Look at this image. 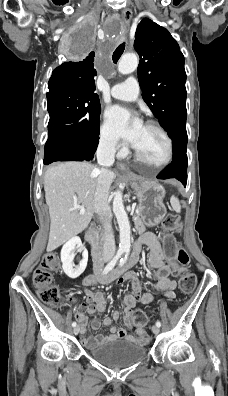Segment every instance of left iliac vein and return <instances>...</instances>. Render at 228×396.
Wrapping results in <instances>:
<instances>
[{"mask_svg": "<svg viewBox=\"0 0 228 396\" xmlns=\"http://www.w3.org/2000/svg\"><path fill=\"white\" fill-rule=\"evenodd\" d=\"M152 332H153L155 335L159 334V332H160L159 327L156 326V325H154V326L152 327Z\"/></svg>", "mask_w": 228, "mask_h": 396, "instance_id": "left-iliac-vein-1", "label": "left iliac vein"}]
</instances>
